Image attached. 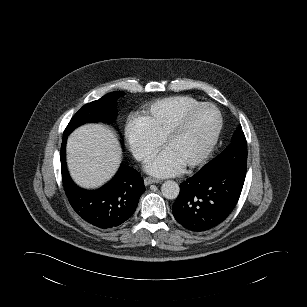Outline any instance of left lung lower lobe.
Listing matches in <instances>:
<instances>
[{
  "label": "left lung lower lobe",
  "instance_id": "left-lung-lower-lobe-1",
  "mask_svg": "<svg viewBox=\"0 0 307 307\" xmlns=\"http://www.w3.org/2000/svg\"><path fill=\"white\" fill-rule=\"evenodd\" d=\"M245 176V167L201 169L180 184L172 207L175 219L196 232L217 227L236 206Z\"/></svg>",
  "mask_w": 307,
  "mask_h": 307
}]
</instances>
